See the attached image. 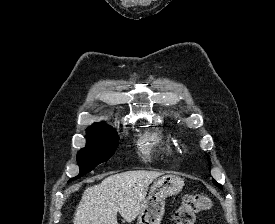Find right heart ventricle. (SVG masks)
Here are the masks:
<instances>
[{"instance_id":"right-heart-ventricle-1","label":"right heart ventricle","mask_w":275,"mask_h":224,"mask_svg":"<svg viewBox=\"0 0 275 224\" xmlns=\"http://www.w3.org/2000/svg\"><path fill=\"white\" fill-rule=\"evenodd\" d=\"M140 146L146 157H151L155 153L168 154L170 152V146L165 140L162 130L158 127H154L143 134Z\"/></svg>"}]
</instances>
